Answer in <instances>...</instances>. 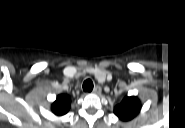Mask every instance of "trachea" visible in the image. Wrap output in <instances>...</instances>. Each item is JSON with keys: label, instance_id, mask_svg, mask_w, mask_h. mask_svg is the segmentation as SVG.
I'll return each instance as SVG.
<instances>
[{"label": "trachea", "instance_id": "1", "mask_svg": "<svg viewBox=\"0 0 185 128\" xmlns=\"http://www.w3.org/2000/svg\"><path fill=\"white\" fill-rule=\"evenodd\" d=\"M94 85H93V81L91 79H87L84 81L83 83V89L84 91H92Z\"/></svg>", "mask_w": 185, "mask_h": 128}]
</instances>
